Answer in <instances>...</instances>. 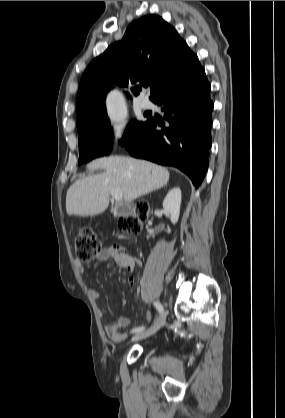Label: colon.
<instances>
[{"label": "colon", "mask_w": 285, "mask_h": 418, "mask_svg": "<svg viewBox=\"0 0 285 418\" xmlns=\"http://www.w3.org/2000/svg\"><path fill=\"white\" fill-rule=\"evenodd\" d=\"M147 205H138L133 214L120 219V228L127 233H137L146 220ZM76 258L81 263H88L99 250L98 236L89 228L80 230L74 237ZM138 265V264H135Z\"/></svg>", "instance_id": "colon-1"}]
</instances>
